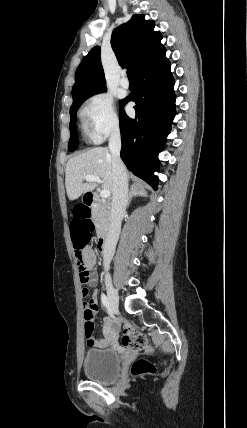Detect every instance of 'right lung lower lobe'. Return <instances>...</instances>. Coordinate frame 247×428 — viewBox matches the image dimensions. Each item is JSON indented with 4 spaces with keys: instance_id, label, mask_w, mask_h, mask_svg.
Instances as JSON below:
<instances>
[{
    "instance_id": "obj_1",
    "label": "right lung lower lobe",
    "mask_w": 247,
    "mask_h": 428,
    "mask_svg": "<svg viewBox=\"0 0 247 428\" xmlns=\"http://www.w3.org/2000/svg\"><path fill=\"white\" fill-rule=\"evenodd\" d=\"M136 89L120 106L121 158L127 168L158 188V154L162 151L175 116L174 79L164 56L135 75ZM134 101L136 116L130 118L124 105Z\"/></svg>"
}]
</instances>
